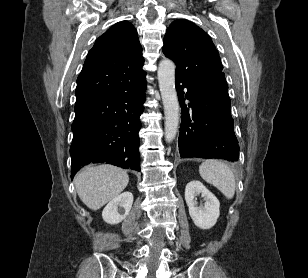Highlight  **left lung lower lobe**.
I'll use <instances>...</instances> for the list:
<instances>
[{"label": "left lung lower lobe", "mask_w": 308, "mask_h": 278, "mask_svg": "<svg viewBox=\"0 0 308 278\" xmlns=\"http://www.w3.org/2000/svg\"><path fill=\"white\" fill-rule=\"evenodd\" d=\"M176 88L182 108L180 156L236 161L239 145L224 73L191 82L176 77ZM184 88H187L186 93ZM186 99L190 101L188 105L184 103Z\"/></svg>", "instance_id": "0a47b994"}]
</instances>
